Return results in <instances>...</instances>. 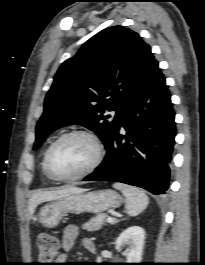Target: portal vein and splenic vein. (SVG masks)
Returning <instances> with one entry per match:
<instances>
[{
    "label": "portal vein and splenic vein",
    "instance_id": "portal-vein-and-splenic-vein-1",
    "mask_svg": "<svg viewBox=\"0 0 205 265\" xmlns=\"http://www.w3.org/2000/svg\"><path fill=\"white\" fill-rule=\"evenodd\" d=\"M106 221H107L108 223H113V222L115 221V219L112 218V217H107Z\"/></svg>",
    "mask_w": 205,
    "mask_h": 265
}]
</instances>
